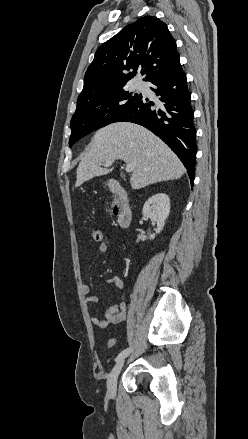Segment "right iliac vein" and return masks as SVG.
I'll list each match as a JSON object with an SVG mask.
<instances>
[{"mask_svg":"<svg viewBox=\"0 0 248 439\" xmlns=\"http://www.w3.org/2000/svg\"><path fill=\"white\" fill-rule=\"evenodd\" d=\"M124 362H125L124 358L118 360L109 374L107 385H108V392L111 396H115L116 394L117 379L123 368Z\"/></svg>","mask_w":248,"mask_h":439,"instance_id":"1","label":"right iliac vein"}]
</instances>
